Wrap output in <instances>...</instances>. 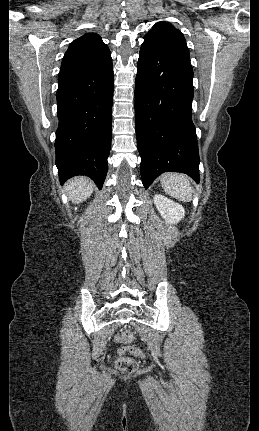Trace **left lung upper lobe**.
<instances>
[{
  "mask_svg": "<svg viewBox=\"0 0 259 431\" xmlns=\"http://www.w3.org/2000/svg\"><path fill=\"white\" fill-rule=\"evenodd\" d=\"M144 41L190 61L189 50L183 34L169 22H159L145 35Z\"/></svg>",
  "mask_w": 259,
  "mask_h": 431,
  "instance_id": "5c2ea615",
  "label": "left lung upper lobe"
}]
</instances>
